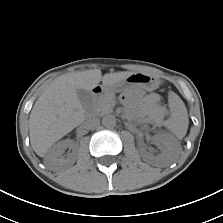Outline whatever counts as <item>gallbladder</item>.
Instances as JSON below:
<instances>
[{"label": "gallbladder", "instance_id": "gallbladder-1", "mask_svg": "<svg viewBox=\"0 0 223 223\" xmlns=\"http://www.w3.org/2000/svg\"><path fill=\"white\" fill-rule=\"evenodd\" d=\"M77 95L82 106L87 109L92 100V94L84 89H78Z\"/></svg>", "mask_w": 223, "mask_h": 223}]
</instances>
